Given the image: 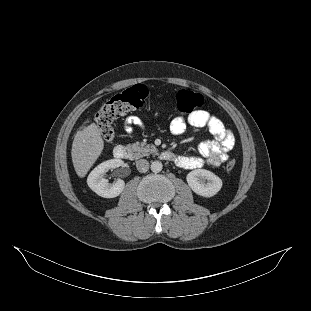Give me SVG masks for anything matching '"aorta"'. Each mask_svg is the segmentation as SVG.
Returning <instances> with one entry per match:
<instances>
[{
    "label": "aorta",
    "instance_id": "aorta-1",
    "mask_svg": "<svg viewBox=\"0 0 311 311\" xmlns=\"http://www.w3.org/2000/svg\"><path fill=\"white\" fill-rule=\"evenodd\" d=\"M163 169V164L160 161H153L151 163V171L154 173H159Z\"/></svg>",
    "mask_w": 311,
    "mask_h": 311
}]
</instances>
